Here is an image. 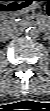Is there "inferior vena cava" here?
<instances>
[{"label":"inferior vena cava","instance_id":"602c4592","mask_svg":"<svg viewBox=\"0 0 50 111\" xmlns=\"http://www.w3.org/2000/svg\"><path fill=\"white\" fill-rule=\"evenodd\" d=\"M21 33H19L18 31H10L7 33L6 38H14L19 36Z\"/></svg>","mask_w":50,"mask_h":111}]
</instances>
